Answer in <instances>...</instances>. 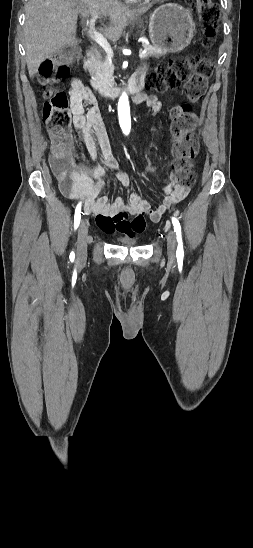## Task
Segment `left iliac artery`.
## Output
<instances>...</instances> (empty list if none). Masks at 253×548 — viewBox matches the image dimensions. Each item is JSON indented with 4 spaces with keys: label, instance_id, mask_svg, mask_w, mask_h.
Here are the masks:
<instances>
[{
    "label": "left iliac artery",
    "instance_id": "1",
    "mask_svg": "<svg viewBox=\"0 0 253 548\" xmlns=\"http://www.w3.org/2000/svg\"><path fill=\"white\" fill-rule=\"evenodd\" d=\"M172 223L174 226V231L176 232L177 243H178L176 256L177 258L182 259L184 256V250H183V242H182V235H181V226L179 221L175 217H172Z\"/></svg>",
    "mask_w": 253,
    "mask_h": 548
}]
</instances>
